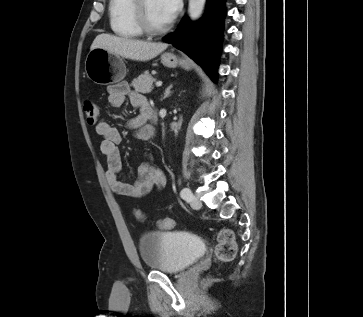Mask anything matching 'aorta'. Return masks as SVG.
I'll use <instances>...</instances> for the list:
<instances>
[{
	"label": "aorta",
	"instance_id": "762f6f07",
	"mask_svg": "<svg viewBox=\"0 0 363 317\" xmlns=\"http://www.w3.org/2000/svg\"><path fill=\"white\" fill-rule=\"evenodd\" d=\"M206 0H189L188 13L192 21H196L201 17Z\"/></svg>",
	"mask_w": 363,
	"mask_h": 317
}]
</instances>
